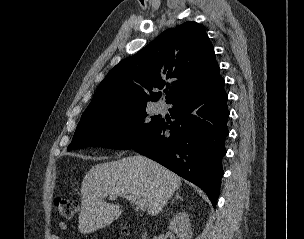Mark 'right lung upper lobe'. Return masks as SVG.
<instances>
[{
    "instance_id": "right-lung-upper-lobe-1",
    "label": "right lung upper lobe",
    "mask_w": 304,
    "mask_h": 239,
    "mask_svg": "<svg viewBox=\"0 0 304 239\" xmlns=\"http://www.w3.org/2000/svg\"><path fill=\"white\" fill-rule=\"evenodd\" d=\"M219 71L213 45L196 22L164 31L134 56L118 63L99 85L81 118L123 105H146L157 101L170 87L166 102L198 86ZM150 93V97L147 93Z\"/></svg>"
}]
</instances>
